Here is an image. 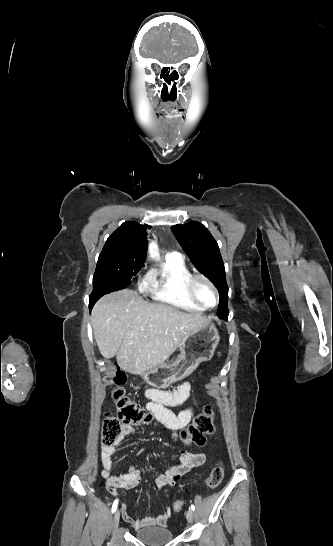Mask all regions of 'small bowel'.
<instances>
[{
	"instance_id": "small-bowel-1",
	"label": "small bowel",
	"mask_w": 333,
	"mask_h": 546,
	"mask_svg": "<svg viewBox=\"0 0 333 546\" xmlns=\"http://www.w3.org/2000/svg\"><path fill=\"white\" fill-rule=\"evenodd\" d=\"M191 384L186 381L173 392H166L154 388L145 390L147 399V410L162 424L171 429H183L186 427L193 416V408L188 406L179 413H174L169 408L184 404L190 398ZM134 432V428L129 425L121 427V433L113 445H103L100 449V461L102 465L101 476L105 481L107 490L117 495L119 489H133L138 487L142 481L141 471L136 467H131L127 473H113V457L116 447L121 444L128 436ZM144 454L140 450L139 456ZM179 464L164 470L156 479L155 485L158 488L174 486L191 469L201 466L205 462V454L202 452L181 451ZM172 514L170 507H166L165 512L155 517H145L134 519L125 506H122V516L125 522L130 523L135 529H141L148 526H164Z\"/></svg>"
}]
</instances>
